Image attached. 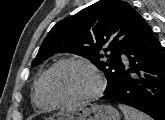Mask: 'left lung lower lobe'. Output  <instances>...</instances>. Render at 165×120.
<instances>
[{
  "label": "left lung lower lobe",
  "mask_w": 165,
  "mask_h": 120,
  "mask_svg": "<svg viewBox=\"0 0 165 120\" xmlns=\"http://www.w3.org/2000/svg\"><path fill=\"white\" fill-rule=\"evenodd\" d=\"M124 54L117 88L100 99L134 107L155 120H165V53L146 23Z\"/></svg>",
  "instance_id": "obj_1"
}]
</instances>
